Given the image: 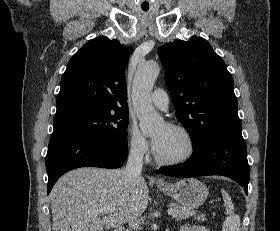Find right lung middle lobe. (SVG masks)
I'll use <instances>...</instances> for the list:
<instances>
[{
	"label": "right lung middle lobe",
	"mask_w": 280,
	"mask_h": 231,
	"mask_svg": "<svg viewBox=\"0 0 280 231\" xmlns=\"http://www.w3.org/2000/svg\"><path fill=\"white\" fill-rule=\"evenodd\" d=\"M128 121V111L65 119L53 122V134L73 133L101 141L127 142Z\"/></svg>",
	"instance_id": "1"
}]
</instances>
